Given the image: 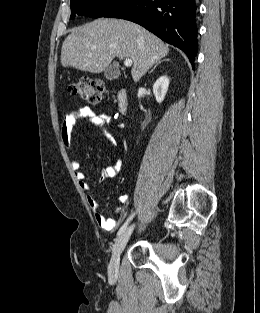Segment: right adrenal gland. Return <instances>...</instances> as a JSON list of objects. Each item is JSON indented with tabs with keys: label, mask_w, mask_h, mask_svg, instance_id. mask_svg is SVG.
Here are the masks:
<instances>
[{
	"label": "right adrenal gland",
	"mask_w": 260,
	"mask_h": 313,
	"mask_svg": "<svg viewBox=\"0 0 260 313\" xmlns=\"http://www.w3.org/2000/svg\"><path fill=\"white\" fill-rule=\"evenodd\" d=\"M163 61H169V59H164ZM162 61H157L156 64L154 65L153 69L150 71H154V69L161 63Z\"/></svg>",
	"instance_id": "right-adrenal-gland-1"
}]
</instances>
